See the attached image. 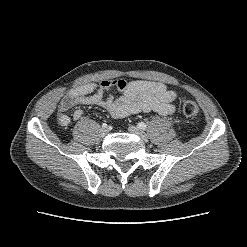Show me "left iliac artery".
I'll list each match as a JSON object with an SVG mask.
<instances>
[{"mask_svg": "<svg viewBox=\"0 0 247 247\" xmlns=\"http://www.w3.org/2000/svg\"><path fill=\"white\" fill-rule=\"evenodd\" d=\"M137 126L142 130H145L147 128V125L144 122H139Z\"/></svg>", "mask_w": 247, "mask_h": 247, "instance_id": "44dca946", "label": "left iliac artery"}]
</instances>
